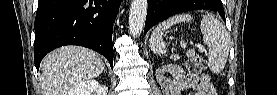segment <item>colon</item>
I'll return each mask as SVG.
<instances>
[{"mask_svg":"<svg viewBox=\"0 0 277 95\" xmlns=\"http://www.w3.org/2000/svg\"><path fill=\"white\" fill-rule=\"evenodd\" d=\"M206 68L207 61L200 54H195L187 63V72L189 75L202 74Z\"/></svg>","mask_w":277,"mask_h":95,"instance_id":"colon-1","label":"colon"}]
</instances>
